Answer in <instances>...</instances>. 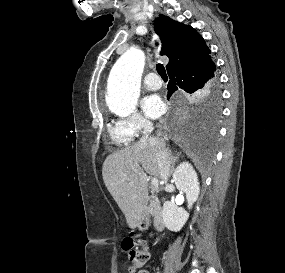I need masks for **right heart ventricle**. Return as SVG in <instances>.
I'll return each mask as SVG.
<instances>
[{"label":"right heart ventricle","instance_id":"1","mask_svg":"<svg viewBox=\"0 0 285 273\" xmlns=\"http://www.w3.org/2000/svg\"><path fill=\"white\" fill-rule=\"evenodd\" d=\"M109 136L112 142L117 146H127L131 143L133 138L123 132L118 124L108 126Z\"/></svg>","mask_w":285,"mask_h":273}]
</instances>
